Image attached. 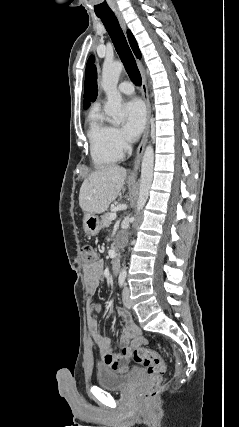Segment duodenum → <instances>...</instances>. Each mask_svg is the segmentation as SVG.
Segmentation results:
<instances>
[{"mask_svg":"<svg viewBox=\"0 0 239 427\" xmlns=\"http://www.w3.org/2000/svg\"><path fill=\"white\" fill-rule=\"evenodd\" d=\"M111 270H112V273L114 275H118V273L120 271V260H119V257L117 255L114 256L112 259Z\"/></svg>","mask_w":239,"mask_h":427,"instance_id":"duodenum-1","label":"duodenum"}]
</instances>
